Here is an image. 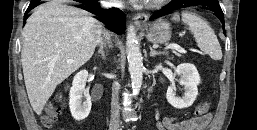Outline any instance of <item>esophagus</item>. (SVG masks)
<instances>
[{
	"mask_svg": "<svg viewBox=\"0 0 257 130\" xmlns=\"http://www.w3.org/2000/svg\"><path fill=\"white\" fill-rule=\"evenodd\" d=\"M134 23L136 26L140 27L144 25L148 19V15L146 13H138L134 16Z\"/></svg>",
	"mask_w": 257,
	"mask_h": 130,
	"instance_id": "1",
	"label": "esophagus"
}]
</instances>
